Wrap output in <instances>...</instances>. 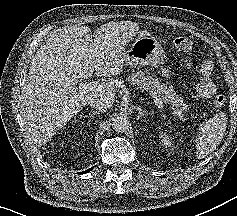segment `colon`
<instances>
[{"instance_id":"5ec220e1","label":"colon","mask_w":237,"mask_h":216,"mask_svg":"<svg viewBox=\"0 0 237 216\" xmlns=\"http://www.w3.org/2000/svg\"><path fill=\"white\" fill-rule=\"evenodd\" d=\"M174 47L181 52H190L194 46L193 40L187 35H180L173 39ZM226 103V97L223 94H217L214 98V104L222 107Z\"/></svg>"}]
</instances>
